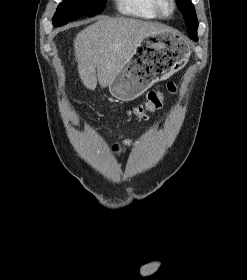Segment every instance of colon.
Listing matches in <instances>:
<instances>
[{"label":"colon","instance_id":"obj_1","mask_svg":"<svg viewBox=\"0 0 247 280\" xmlns=\"http://www.w3.org/2000/svg\"><path fill=\"white\" fill-rule=\"evenodd\" d=\"M167 90L169 93H175L177 91V85L174 82L167 84ZM164 101V93L161 91H150L147 94L146 100L134 106L129 110V114L134 116L138 120H144L147 115L154 112L162 107Z\"/></svg>","mask_w":247,"mask_h":280}]
</instances>
